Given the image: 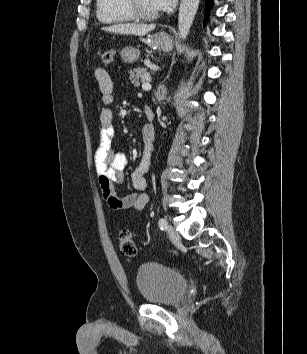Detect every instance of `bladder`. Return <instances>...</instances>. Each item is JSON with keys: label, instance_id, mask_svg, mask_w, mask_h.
<instances>
[{"label": "bladder", "instance_id": "bladder-1", "mask_svg": "<svg viewBox=\"0 0 307 354\" xmlns=\"http://www.w3.org/2000/svg\"><path fill=\"white\" fill-rule=\"evenodd\" d=\"M135 281L141 297L150 304H177L188 288V281L180 272L157 262L142 264Z\"/></svg>", "mask_w": 307, "mask_h": 354}]
</instances>
